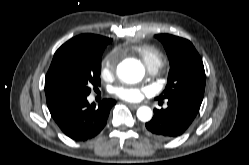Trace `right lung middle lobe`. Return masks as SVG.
<instances>
[{
  "label": "right lung middle lobe",
  "instance_id": "obj_1",
  "mask_svg": "<svg viewBox=\"0 0 249 165\" xmlns=\"http://www.w3.org/2000/svg\"><path fill=\"white\" fill-rule=\"evenodd\" d=\"M105 46L82 41L63 44L55 53L45 78L54 93L89 95L100 86L101 56Z\"/></svg>",
  "mask_w": 249,
  "mask_h": 165
}]
</instances>
